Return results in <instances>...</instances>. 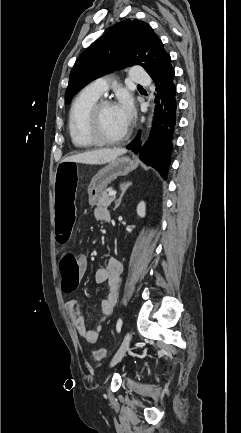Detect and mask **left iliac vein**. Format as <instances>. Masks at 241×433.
Segmentation results:
<instances>
[{
	"mask_svg": "<svg viewBox=\"0 0 241 433\" xmlns=\"http://www.w3.org/2000/svg\"><path fill=\"white\" fill-rule=\"evenodd\" d=\"M130 340H131V334L130 332H126L119 350L116 352V354L114 355V357L110 362V367L115 366L124 357V355L126 354L129 348Z\"/></svg>",
	"mask_w": 241,
	"mask_h": 433,
	"instance_id": "left-iliac-vein-1",
	"label": "left iliac vein"
}]
</instances>
